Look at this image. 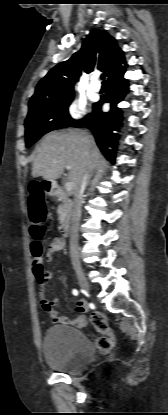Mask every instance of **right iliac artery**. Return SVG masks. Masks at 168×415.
Listing matches in <instances>:
<instances>
[{
    "instance_id": "1",
    "label": "right iliac artery",
    "mask_w": 168,
    "mask_h": 415,
    "mask_svg": "<svg viewBox=\"0 0 168 415\" xmlns=\"http://www.w3.org/2000/svg\"><path fill=\"white\" fill-rule=\"evenodd\" d=\"M72 293H73V295H75V296H77V295L79 294V292H78V290H77V289H73Z\"/></svg>"
}]
</instances>
